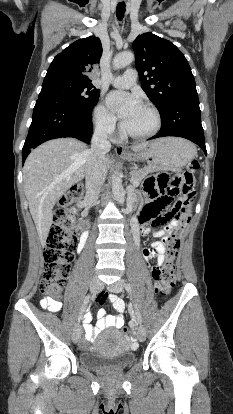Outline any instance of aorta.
<instances>
[{"mask_svg":"<svg viewBox=\"0 0 233 414\" xmlns=\"http://www.w3.org/2000/svg\"><path fill=\"white\" fill-rule=\"evenodd\" d=\"M133 60L134 54L132 52L119 53L113 59V68L115 70L122 69L131 64ZM112 193L117 202L123 205L125 202V191L118 172H115L112 176Z\"/></svg>","mask_w":233,"mask_h":414,"instance_id":"762f6f07","label":"aorta"}]
</instances>
